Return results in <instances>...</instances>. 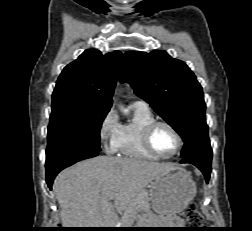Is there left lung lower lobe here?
<instances>
[{
	"instance_id": "0a47b994",
	"label": "left lung lower lobe",
	"mask_w": 252,
	"mask_h": 231,
	"mask_svg": "<svg viewBox=\"0 0 252 231\" xmlns=\"http://www.w3.org/2000/svg\"><path fill=\"white\" fill-rule=\"evenodd\" d=\"M212 150L198 152L186 157H183L180 163H190L198 167L204 174L208 182L211 173Z\"/></svg>"
}]
</instances>
